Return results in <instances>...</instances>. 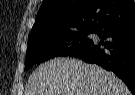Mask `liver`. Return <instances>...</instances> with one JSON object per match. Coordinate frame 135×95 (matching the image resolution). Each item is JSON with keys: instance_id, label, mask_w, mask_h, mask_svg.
I'll list each match as a JSON object with an SVG mask.
<instances>
[{"instance_id": "liver-1", "label": "liver", "mask_w": 135, "mask_h": 95, "mask_svg": "<svg viewBox=\"0 0 135 95\" xmlns=\"http://www.w3.org/2000/svg\"><path fill=\"white\" fill-rule=\"evenodd\" d=\"M24 95H130L112 72L69 58H56L29 77Z\"/></svg>"}]
</instances>
